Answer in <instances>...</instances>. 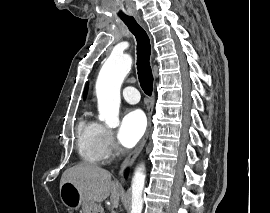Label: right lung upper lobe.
<instances>
[{"label":"right lung upper lobe","mask_w":270,"mask_h":213,"mask_svg":"<svg viewBox=\"0 0 270 213\" xmlns=\"http://www.w3.org/2000/svg\"><path fill=\"white\" fill-rule=\"evenodd\" d=\"M86 94H87V87H86V89H85V91H84V98L86 97Z\"/></svg>","instance_id":"1"}]
</instances>
